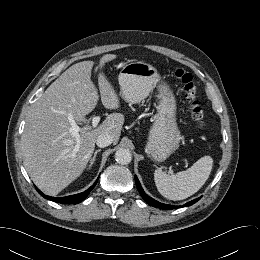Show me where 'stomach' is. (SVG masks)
Segmentation results:
<instances>
[{
	"label": "stomach",
	"instance_id": "0dacf381",
	"mask_svg": "<svg viewBox=\"0 0 260 260\" xmlns=\"http://www.w3.org/2000/svg\"><path fill=\"white\" fill-rule=\"evenodd\" d=\"M118 81L120 95L131 104L140 103L159 84L160 100L145 151L156 162L166 160L179 147L181 140L176 122L177 104L169 86L161 81L155 67L143 61L123 66Z\"/></svg>",
	"mask_w": 260,
	"mask_h": 260
}]
</instances>
